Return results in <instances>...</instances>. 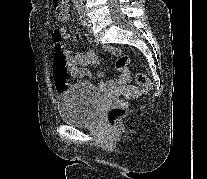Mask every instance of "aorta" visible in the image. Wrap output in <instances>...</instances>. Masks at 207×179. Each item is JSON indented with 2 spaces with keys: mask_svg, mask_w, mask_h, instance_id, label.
<instances>
[{
  "mask_svg": "<svg viewBox=\"0 0 207 179\" xmlns=\"http://www.w3.org/2000/svg\"><path fill=\"white\" fill-rule=\"evenodd\" d=\"M75 5H81L83 3V0H72Z\"/></svg>",
  "mask_w": 207,
  "mask_h": 179,
  "instance_id": "762f6f07",
  "label": "aorta"
}]
</instances>
